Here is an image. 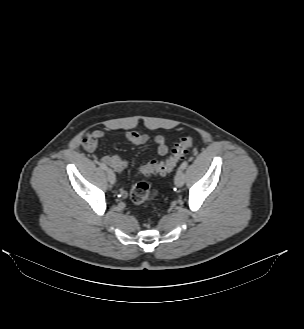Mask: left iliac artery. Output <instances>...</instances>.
<instances>
[{
    "label": "left iliac artery",
    "instance_id": "obj_1",
    "mask_svg": "<svg viewBox=\"0 0 304 329\" xmlns=\"http://www.w3.org/2000/svg\"><path fill=\"white\" fill-rule=\"evenodd\" d=\"M187 166H188V162H187V161H184V162L181 164L180 168L184 170Z\"/></svg>",
    "mask_w": 304,
    "mask_h": 329
}]
</instances>
